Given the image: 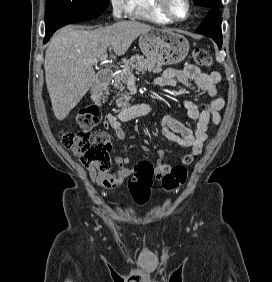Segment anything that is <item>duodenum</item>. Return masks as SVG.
Returning <instances> with one entry per match:
<instances>
[{
    "instance_id": "duodenum-1",
    "label": "duodenum",
    "mask_w": 272,
    "mask_h": 282,
    "mask_svg": "<svg viewBox=\"0 0 272 282\" xmlns=\"http://www.w3.org/2000/svg\"><path fill=\"white\" fill-rule=\"evenodd\" d=\"M112 78V72L106 70L102 71L98 74L96 83H94L90 88L91 96L94 100L99 101L101 99V95L107 86V84L110 83ZM135 109L131 107L130 105L126 104L124 105V112L126 113V116H130L133 114Z\"/></svg>"
}]
</instances>
